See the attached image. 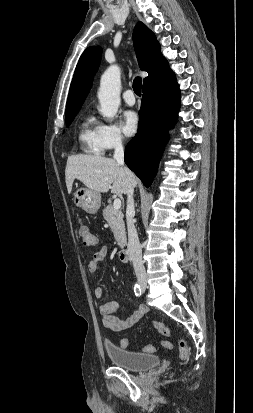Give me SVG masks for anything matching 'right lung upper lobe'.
<instances>
[{"instance_id": "1", "label": "right lung upper lobe", "mask_w": 253, "mask_h": 413, "mask_svg": "<svg viewBox=\"0 0 253 413\" xmlns=\"http://www.w3.org/2000/svg\"><path fill=\"white\" fill-rule=\"evenodd\" d=\"M133 44L140 69L148 72L143 87L171 71L154 33L142 22H138L134 28ZM101 51L100 47H89L81 55L70 85L66 117L80 110L98 69Z\"/></svg>"}]
</instances>
